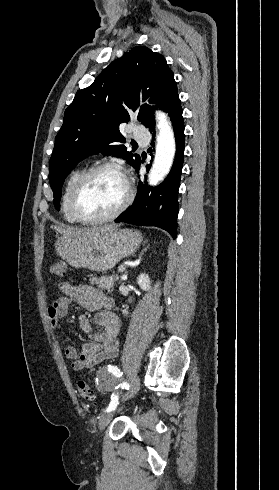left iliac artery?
I'll list each match as a JSON object with an SVG mask.
<instances>
[{"label":"left iliac artery","mask_w":279,"mask_h":490,"mask_svg":"<svg viewBox=\"0 0 279 490\" xmlns=\"http://www.w3.org/2000/svg\"><path fill=\"white\" fill-rule=\"evenodd\" d=\"M108 370H109L110 372H112V373H113L114 375H116V376H120V375H122V373H121V372H120V370L117 368V366H115V367H114V366L109 365V366H108ZM125 386H127V387H128L127 389H129V384H127V385L125 384ZM118 399H119V398H118V395H116V394H114V393H113V394H112V396H111V402H110V404H109V407L106 409V411H107V412H110V411L115 410V408H116V407H117V405L119 404Z\"/></svg>","instance_id":"obj_1"}]
</instances>
